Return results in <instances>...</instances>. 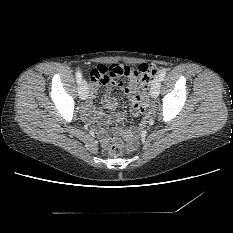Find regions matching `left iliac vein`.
<instances>
[{
	"label": "left iliac vein",
	"instance_id": "4c4485c4",
	"mask_svg": "<svg viewBox=\"0 0 233 233\" xmlns=\"http://www.w3.org/2000/svg\"><path fill=\"white\" fill-rule=\"evenodd\" d=\"M160 87H161V79L160 78H156L152 85H151V96L153 98L158 97L159 93H160Z\"/></svg>",
	"mask_w": 233,
	"mask_h": 233
}]
</instances>
